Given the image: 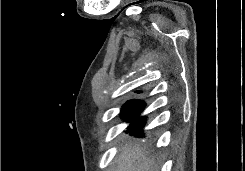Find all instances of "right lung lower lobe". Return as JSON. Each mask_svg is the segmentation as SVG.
Masks as SVG:
<instances>
[{"instance_id":"obj_1","label":"right lung lower lobe","mask_w":245,"mask_h":171,"mask_svg":"<svg viewBox=\"0 0 245 171\" xmlns=\"http://www.w3.org/2000/svg\"><path fill=\"white\" fill-rule=\"evenodd\" d=\"M145 107V103L140 100L128 101L122 108V116L125 120L131 122L127 127L126 133L130 135H135L138 137H143L144 132L142 130L143 124L145 122V116L139 117V114Z\"/></svg>"}]
</instances>
